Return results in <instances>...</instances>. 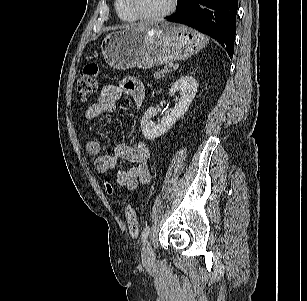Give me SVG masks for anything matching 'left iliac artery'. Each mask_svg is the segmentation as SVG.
<instances>
[{
	"label": "left iliac artery",
	"mask_w": 307,
	"mask_h": 301,
	"mask_svg": "<svg viewBox=\"0 0 307 301\" xmlns=\"http://www.w3.org/2000/svg\"><path fill=\"white\" fill-rule=\"evenodd\" d=\"M149 233H150V226H146L143 229L142 234H141L142 242L146 241V239L148 238Z\"/></svg>",
	"instance_id": "obj_1"
}]
</instances>
